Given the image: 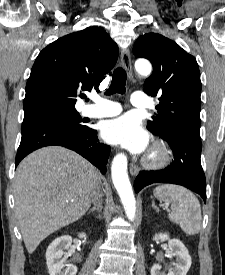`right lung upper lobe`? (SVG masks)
<instances>
[{
  "instance_id": "right-lung-upper-lobe-1",
  "label": "right lung upper lobe",
  "mask_w": 225,
  "mask_h": 275,
  "mask_svg": "<svg viewBox=\"0 0 225 275\" xmlns=\"http://www.w3.org/2000/svg\"><path fill=\"white\" fill-rule=\"evenodd\" d=\"M117 58V44L99 27L71 33L49 44L36 58L27 81L24 117L76 110L79 90L97 88Z\"/></svg>"
}]
</instances>
